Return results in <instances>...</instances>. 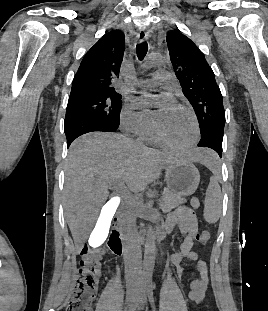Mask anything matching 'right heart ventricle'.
Returning a JSON list of instances; mask_svg holds the SVG:
<instances>
[{"label":"right heart ventricle","mask_w":268,"mask_h":311,"mask_svg":"<svg viewBox=\"0 0 268 311\" xmlns=\"http://www.w3.org/2000/svg\"><path fill=\"white\" fill-rule=\"evenodd\" d=\"M140 138L147 142V143H156L158 142L155 134H154V131L152 129L148 130L147 132H145L144 134H142L140 136Z\"/></svg>","instance_id":"obj_1"}]
</instances>
